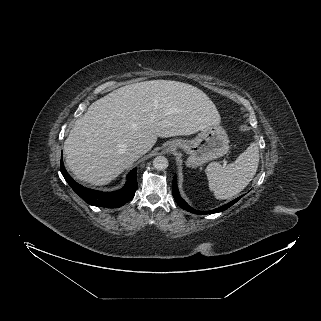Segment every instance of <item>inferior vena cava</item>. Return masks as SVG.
<instances>
[{
	"instance_id": "1",
	"label": "inferior vena cava",
	"mask_w": 321,
	"mask_h": 321,
	"mask_svg": "<svg viewBox=\"0 0 321 321\" xmlns=\"http://www.w3.org/2000/svg\"><path fill=\"white\" fill-rule=\"evenodd\" d=\"M150 150L147 144H138L133 148V151L137 155H143Z\"/></svg>"
}]
</instances>
